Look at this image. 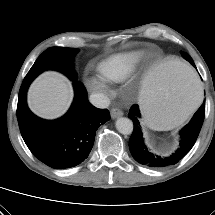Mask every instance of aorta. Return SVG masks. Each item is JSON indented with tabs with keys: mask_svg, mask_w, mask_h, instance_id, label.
I'll use <instances>...</instances> for the list:
<instances>
[{
	"mask_svg": "<svg viewBox=\"0 0 215 215\" xmlns=\"http://www.w3.org/2000/svg\"><path fill=\"white\" fill-rule=\"evenodd\" d=\"M116 129L123 135H129L133 132V122L126 117H120L115 123Z\"/></svg>",
	"mask_w": 215,
	"mask_h": 215,
	"instance_id": "aorta-1",
	"label": "aorta"
}]
</instances>
